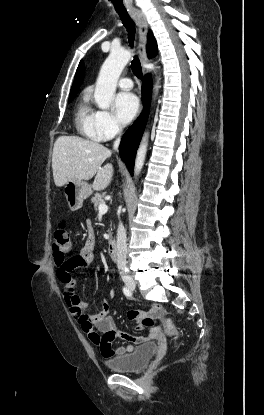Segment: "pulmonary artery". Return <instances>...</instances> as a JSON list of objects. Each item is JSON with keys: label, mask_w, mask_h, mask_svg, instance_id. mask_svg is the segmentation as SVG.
I'll return each instance as SVG.
<instances>
[{"label": "pulmonary artery", "mask_w": 264, "mask_h": 415, "mask_svg": "<svg viewBox=\"0 0 264 415\" xmlns=\"http://www.w3.org/2000/svg\"><path fill=\"white\" fill-rule=\"evenodd\" d=\"M118 87L123 90H130L133 87V82L130 78H121L117 83Z\"/></svg>", "instance_id": "pulmonary-artery-1"}]
</instances>
